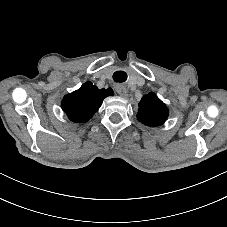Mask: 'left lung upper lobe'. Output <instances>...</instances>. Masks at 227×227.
Wrapping results in <instances>:
<instances>
[{
	"instance_id": "left-lung-upper-lobe-1",
	"label": "left lung upper lobe",
	"mask_w": 227,
	"mask_h": 227,
	"mask_svg": "<svg viewBox=\"0 0 227 227\" xmlns=\"http://www.w3.org/2000/svg\"><path fill=\"white\" fill-rule=\"evenodd\" d=\"M168 113L166 105L154 93H149L139 103L137 118L145 125L159 126L166 121Z\"/></svg>"
}]
</instances>
